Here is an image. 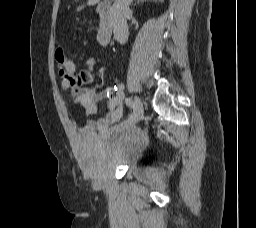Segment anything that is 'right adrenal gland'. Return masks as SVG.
<instances>
[{
    "mask_svg": "<svg viewBox=\"0 0 256 228\" xmlns=\"http://www.w3.org/2000/svg\"><path fill=\"white\" fill-rule=\"evenodd\" d=\"M143 1H144V0H136V2H135L134 5L138 4L139 2H143Z\"/></svg>",
    "mask_w": 256,
    "mask_h": 228,
    "instance_id": "2a0ac1e0",
    "label": "right adrenal gland"
}]
</instances>
